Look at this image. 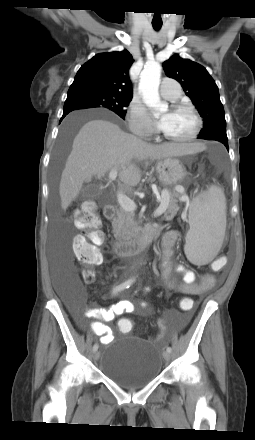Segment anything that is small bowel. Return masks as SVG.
Returning a JSON list of instances; mask_svg holds the SVG:
<instances>
[{
    "instance_id": "obj_1",
    "label": "small bowel",
    "mask_w": 255,
    "mask_h": 440,
    "mask_svg": "<svg viewBox=\"0 0 255 440\" xmlns=\"http://www.w3.org/2000/svg\"><path fill=\"white\" fill-rule=\"evenodd\" d=\"M179 239V234L176 230L168 231L162 240V270L160 278L169 291L178 292L186 296H200L211 289L214 285L212 277H206L198 280L196 274L185 268L181 264H173L171 261L173 255V248ZM173 269L182 274L181 279H177L173 275ZM147 312V305L144 302L132 303L130 301H119L109 308L95 307L88 308L83 311V316L88 318H95L90 327L92 332L100 338L102 344L111 342L114 338L111 328L106 324L113 321L117 317L128 313H142ZM78 322L82 325L83 320L80 316L77 317Z\"/></svg>"
}]
</instances>
